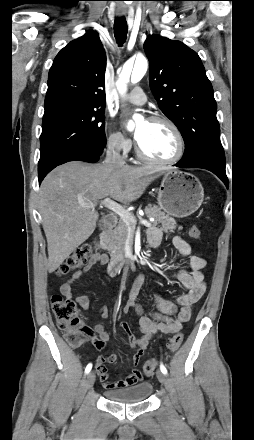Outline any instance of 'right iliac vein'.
<instances>
[{
    "label": "right iliac vein",
    "mask_w": 254,
    "mask_h": 440,
    "mask_svg": "<svg viewBox=\"0 0 254 440\" xmlns=\"http://www.w3.org/2000/svg\"><path fill=\"white\" fill-rule=\"evenodd\" d=\"M95 382V374L93 372H90L85 379L84 388L85 390H89L93 387Z\"/></svg>",
    "instance_id": "obj_1"
}]
</instances>
